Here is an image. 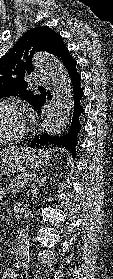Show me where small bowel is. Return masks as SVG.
I'll return each mask as SVG.
<instances>
[{"mask_svg": "<svg viewBox=\"0 0 113 279\" xmlns=\"http://www.w3.org/2000/svg\"><path fill=\"white\" fill-rule=\"evenodd\" d=\"M3 195V189L0 188V197H2ZM16 275L15 272L12 269H6L3 272V279H15Z\"/></svg>", "mask_w": 113, "mask_h": 279, "instance_id": "small-bowel-1", "label": "small bowel"}]
</instances>
